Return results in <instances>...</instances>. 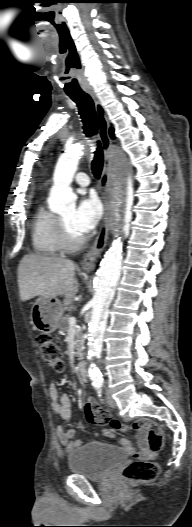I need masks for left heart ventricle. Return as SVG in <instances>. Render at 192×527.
I'll return each instance as SVG.
<instances>
[{
  "label": "left heart ventricle",
  "mask_w": 192,
  "mask_h": 527,
  "mask_svg": "<svg viewBox=\"0 0 192 527\" xmlns=\"http://www.w3.org/2000/svg\"><path fill=\"white\" fill-rule=\"evenodd\" d=\"M73 213L74 211L71 209V210H68L66 211L65 213H63L60 218L62 219V221L64 222L66 228H67V231L68 233L70 234V236L74 239H77L79 238L80 235L72 226V217H73Z\"/></svg>",
  "instance_id": "left-heart-ventricle-1"
}]
</instances>
